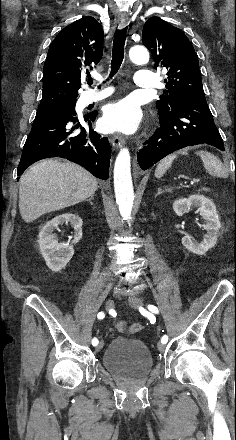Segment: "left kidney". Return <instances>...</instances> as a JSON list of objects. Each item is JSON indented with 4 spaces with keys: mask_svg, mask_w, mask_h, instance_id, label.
<instances>
[{
    "mask_svg": "<svg viewBox=\"0 0 236 440\" xmlns=\"http://www.w3.org/2000/svg\"><path fill=\"white\" fill-rule=\"evenodd\" d=\"M191 207H197L200 215L205 219L203 228L207 233L200 243H196L192 237L185 235L182 238V244L192 253L203 255L217 243L221 223L214 203L203 195H191L189 198H181L173 203V210L177 216H182Z\"/></svg>",
    "mask_w": 236,
    "mask_h": 440,
    "instance_id": "obj_1",
    "label": "left kidney"
}]
</instances>
